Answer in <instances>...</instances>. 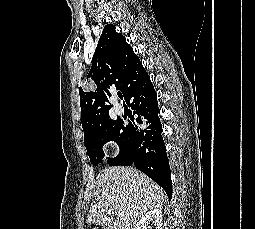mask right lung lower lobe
I'll return each instance as SVG.
<instances>
[{"label": "right lung lower lobe", "instance_id": "98d812e1", "mask_svg": "<svg viewBox=\"0 0 255 229\" xmlns=\"http://www.w3.org/2000/svg\"><path fill=\"white\" fill-rule=\"evenodd\" d=\"M125 101L137 116L127 125L132 141V154L118 165H135L172 198V183L169 160L162 138V125L155 89L143 67L132 76Z\"/></svg>", "mask_w": 255, "mask_h": 229}]
</instances>
